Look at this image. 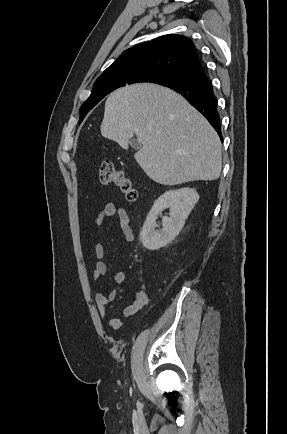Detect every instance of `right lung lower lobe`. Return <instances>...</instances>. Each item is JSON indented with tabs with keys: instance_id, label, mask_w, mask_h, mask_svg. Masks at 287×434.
Instances as JSON below:
<instances>
[{
	"instance_id": "98d812e1",
	"label": "right lung lower lobe",
	"mask_w": 287,
	"mask_h": 434,
	"mask_svg": "<svg viewBox=\"0 0 287 434\" xmlns=\"http://www.w3.org/2000/svg\"><path fill=\"white\" fill-rule=\"evenodd\" d=\"M167 87L180 93L209 121L219 134L221 140L220 117L217 111V100L205 69L199 65L185 72L175 83Z\"/></svg>"
}]
</instances>
